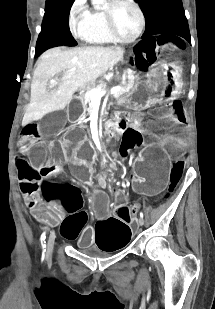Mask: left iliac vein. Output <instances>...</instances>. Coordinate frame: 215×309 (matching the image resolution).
Masks as SVG:
<instances>
[{
    "label": "left iliac vein",
    "instance_id": "obj_1",
    "mask_svg": "<svg viewBox=\"0 0 215 309\" xmlns=\"http://www.w3.org/2000/svg\"><path fill=\"white\" fill-rule=\"evenodd\" d=\"M138 224L142 226L144 224V219L142 217L139 218Z\"/></svg>",
    "mask_w": 215,
    "mask_h": 309
}]
</instances>
